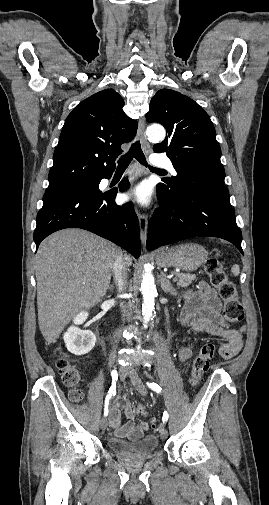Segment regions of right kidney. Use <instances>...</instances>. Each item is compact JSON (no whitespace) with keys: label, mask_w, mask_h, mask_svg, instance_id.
<instances>
[{"label":"right kidney","mask_w":269,"mask_h":505,"mask_svg":"<svg viewBox=\"0 0 269 505\" xmlns=\"http://www.w3.org/2000/svg\"><path fill=\"white\" fill-rule=\"evenodd\" d=\"M88 312H80L74 318V324H83L88 318ZM64 342L69 352L75 355H84L90 352L96 343L95 334L90 330H81L77 326H71L64 334Z\"/></svg>","instance_id":"right-kidney-1"}]
</instances>
